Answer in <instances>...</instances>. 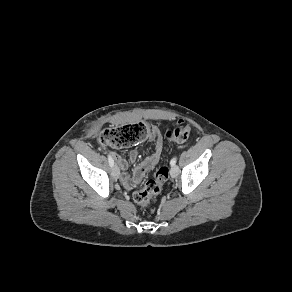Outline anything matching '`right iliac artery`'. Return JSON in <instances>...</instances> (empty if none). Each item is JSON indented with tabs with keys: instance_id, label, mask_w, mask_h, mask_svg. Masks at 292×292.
Instances as JSON below:
<instances>
[{
	"instance_id": "1",
	"label": "right iliac artery",
	"mask_w": 292,
	"mask_h": 292,
	"mask_svg": "<svg viewBox=\"0 0 292 292\" xmlns=\"http://www.w3.org/2000/svg\"><path fill=\"white\" fill-rule=\"evenodd\" d=\"M108 161H109V165H110L111 167H113V166H114V160H113V158L111 157V155H108Z\"/></svg>"
}]
</instances>
